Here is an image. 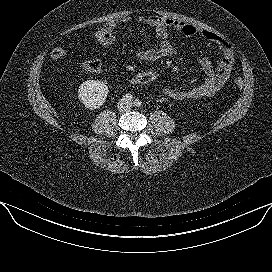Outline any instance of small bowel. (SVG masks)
Segmentation results:
<instances>
[{"mask_svg":"<svg viewBox=\"0 0 272 272\" xmlns=\"http://www.w3.org/2000/svg\"><path fill=\"white\" fill-rule=\"evenodd\" d=\"M132 21L152 27L159 40L157 46L154 48L145 50L139 49L136 51V57L141 61L153 62L176 54L174 46L168 39V32L171 29L180 32L185 37L200 36L204 40L215 45L221 53V58L218 61L216 71H213L211 63L207 58H198V63L206 74V77L202 82H192L190 86L183 89L164 87L162 92L165 95L177 100H195L204 97H212L229 79L234 65V53L229 42L218 34L177 19L161 16L139 17L136 19L124 17L119 20L108 21L102 29L115 35L117 26Z\"/></svg>","mask_w":272,"mask_h":272,"instance_id":"obj_1","label":"small bowel"}]
</instances>
